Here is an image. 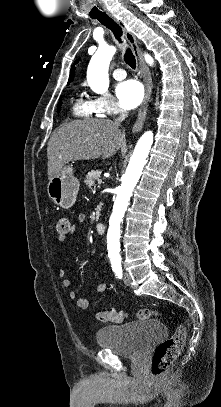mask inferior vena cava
I'll return each instance as SVG.
<instances>
[{
    "label": "inferior vena cava",
    "instance_id": "602c4592",
    "mask_svg": "<svg viewBox=\"0 0 221 407\" xmlns=\"http://www.w3.org/2000/svg\"><path fill=\"white\" fill-rule=\"evenodd\" d=\"M128 116V112L125 109H120L119 116L115 119V123L120 125L122 121Z\"/></svg>",
    "mask_w": 221,
    "mask_h": 407
}]
</instances>
